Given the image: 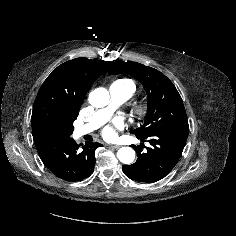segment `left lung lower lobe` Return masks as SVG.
<instances>
[{
    "label": "left lung lower lobe",
    "mask_w": 236,
    "mask_h": 236,
    "mask_svg": "<svg viewBox=\"0 0 236 236\" xmlns=\"http://www.w3.org/2000/svg\"><path fill=\"white\" fill-rule=\"evenodd\" d=\"M189 134V125L182 124L158 132L148 138L150 147L142 152L143 144L134 146L137 161L132 165H123L124 174L132 180L153 183L167 176L177 164Z\"/></svg>",
    "instance_id": "0a47b994"
}]
</instances>
